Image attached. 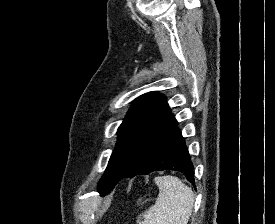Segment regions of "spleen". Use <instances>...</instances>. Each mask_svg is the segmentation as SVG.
Wrapping results in <instances>:
<instances>
[{"mask_svg": "<svg viewBox=\"0 0 275 224\" xmlns=\"http://www.w3.org/2000/svg\"><path fill=\"white\" fill-rule=\"evenodd\" d=\"M159 188L156 203L144 214L138 224H187L192 214L194 193L178 177H155Z\"/></svg>", "mask_w": 275, "mask_h": 224, "instance_id": "3e777b00", "label": "spleen"}]
</instances>
